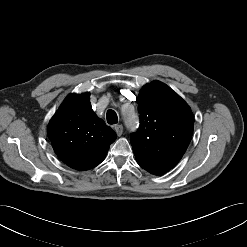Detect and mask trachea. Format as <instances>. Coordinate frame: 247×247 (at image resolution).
Returning <instances> with one entry per match:
<instances>
[{"label": "trachea", "mask_w": 247, "mask_h": 247, "mask_svg": "<svg viewBox=\"0 0 247 247\" xmlns=\"http://www.w3.org/2000/svg\"><path fill=\"white\" fill-rule=\"evenodd\" d=\"M107 122L108 124H116L118 122V117L114 110L107 111Z\"/></svg>", "instance_id": "1"}]
</instances>
